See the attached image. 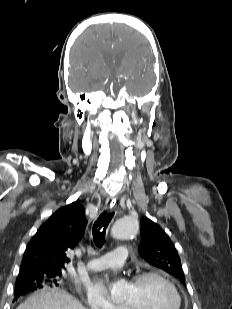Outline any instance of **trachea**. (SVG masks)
I'll use <instances>...</instances> for the list:
<instances>
[{"label":"trachea","instance_id":"3493384b","mask_svg":"<svg viewBox=\"0 0 232 309\" xmlns=\"http://www.w3.org/2000/svg\"><path fill=\"white\" fill-rule=\"evenodd\" d=\"M114 212H103L93 224L92 234L96 246L101 247L104 244L106 229L112 220Z\"/></svg>","mask_w":232,"mask_h":309}]
</instances>
